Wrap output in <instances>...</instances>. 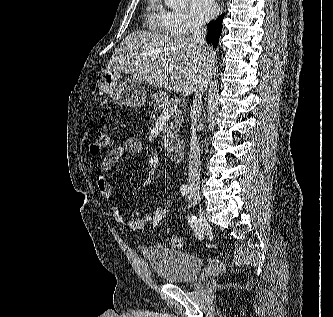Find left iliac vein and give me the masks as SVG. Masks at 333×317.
<instances>
[{
	"mask_svg": "<svg viewBox=\"0 0 333 317\" xmlns=\"http://www.w3.org/2000/svg\"><path fill=\"white\" fill-rule=\"evenodd\" d=\"M189 201L193 206L196 205V201L194 200L192 194H190V196H189Z\"/></svg>",
	"mask_w": 333,
	"mask_h": 317,
	"instance_id": "1",
	"label": "left iliac vein"
}]
</instances>
